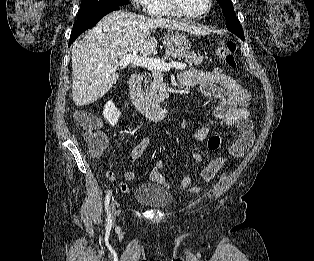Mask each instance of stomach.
Segmentation results:
<instances>
[{
  "instance_id": "0dacf381",
  "label": "stomach",
  "mask_w": 314,
  "mask_h": 261,
  "mask_svg": "<svg viewBox=\"0 0 314 261\" xmlns=\"http://www.w3.org/2000/svg\"><path fill=\"white\" fill-rule=\"evenodd\" d=\"M164 43L166 47H174L183 51H189L191 48L189 39L177 30H173L170 34L166 35Z\"/></svg>"
}]
</instances>
